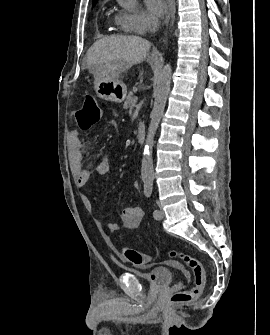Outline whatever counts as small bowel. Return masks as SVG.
Wrapping results in <instances>:
<instances>
[{
    "instance_id": "small-bowel-1",
    "label": "small bowel",
    "mask_w": 270,
    "mask_h": 335,
    "mask_svg": "<svg viewBox=\"0 0 270 335\" xmlns=\"http://www.w3.org/2000/svg\"><path fill=\"white\" fill-rule=\"evenodd\" d=\"M68 162L78 188H83L94 172L98 175H106L110 171V165L106 160L98 161L93 168L85 165L82 143L75 131L69 133ZM82 203L85 208L91 209V201L87 196H82ZM143 215V209L139 206L126 207L120 215L121 225L109 223L105 228L109 231L134 230L141 224Z\"/></svg>"
}]
</instances>
